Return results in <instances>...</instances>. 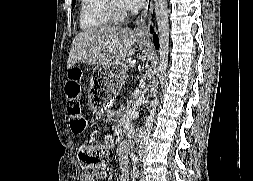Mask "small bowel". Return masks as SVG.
Returning <instances> with one entry per match:
<instances>
[{"instance_id": "c3829d8e", "label": "small bowel", "mask_w": 253, "mask_h": 181, "mask_svg": "<svg viewBox=\"0 0 253 181\" xmlns=\"http://www.w3.org/2000/svg\"><path fill=\"white\" fill-rule=\"evenodd\" d=\"M113 119L118 117V111H114L111 114ZM105 144L109 147H112L115 144V137L113 134H107L104 138ZM117 177L116 181H129V166H128V156L126 152H123L118 164H117ZM107 175V171L103 170L97 173L95 176L90 175H82L80 177V181H95V180H103Z\"/></svg>"}]
</instances>
